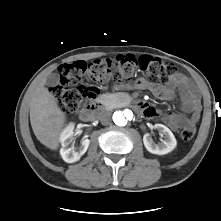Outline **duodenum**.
<instances>
[{
	"instance_id": "1",
	"label": "duodenum",
	"mask_w": 221,
	"mask_h": 221,
	"mask_svg": "<svg viewBox=\"0 0 221 221\" xmlns=\"http://www.w3.org/2000/svg\"><path fill=\"white\" fill-rule=\"evenodd\" d=\"M132 104L138 108H141V106L143 105V103H134V102ZM102 108H103V105L100 102L94 100L87 108L83 109L80 112L81 120L90 121V120L94 119L95 112L97 110H101Z\"/></svg>"
}]
</instances>
